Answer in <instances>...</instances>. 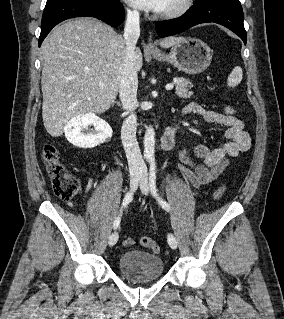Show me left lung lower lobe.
<instances>
[{
	"label": "left lung lower lobe",
	"instance_id": "1",
	"mask_svg": "<svg viewBox=\"0 0 284 319\" xmlns=\"http://www.w3.org/2000/svg\"><path fill=\"white\" fill-rule=\"evenodd\" d=\"M243 20V10L239 0H205L195 2V5L183 16L157 22L155 27L160 37H167L181 33L197 24L214 22L232 30L246 44Z\"/></svg>",
	"mask_w": 284,
	"mask_h": 319
}]
</instances>
